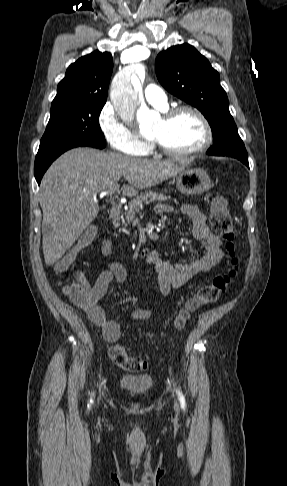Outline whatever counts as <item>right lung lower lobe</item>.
Returning a JSON list of instances; mask_svg holds the SVG:
<instances>
[{
    "label": "right lung lower lobe",
    "mask_w": 287,
    "mask_h": 486,
    "mask_svg": "<svg viewBox=\"0 0 287 486\" xmlns=\"http://www.w3.org/2000/svg\"><path fill=\"white\" fill-rule=\"evenodd\" d=\"M74 147H78V146H72V147L60 149V150H57V151H52V152H47V153L36 155L35 164H34V175H35V178H36L38 184H40L41 178H42L43 174L45 173V171L47 170V168L50 166V164L58 156H60L63 152H65V151H67L71 148H74Z\"/></svg>",
    "instance_id": "98d812e1"
}]
</instances>
